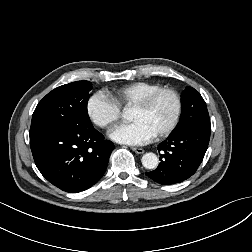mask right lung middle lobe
Returning <instances> with one entry per match:
<instances>
[{"label": "right lung middle lobe", "mask_w": 252, "mask_h": 252, "mask_svg": "<svg viewBox=\"0 0 252 252\" xmlns=\"http://www.w3.org/2000/svg\"><path fill=\"white\" fill-rule=\"evenodd\" d=\"M91 89V82L76 81L52 90L37 105L30 130L54 126L92 127L87 112Z\"/></svg>", "instance_id": "right-lung-middle-lobe-1"}]
</instances>
